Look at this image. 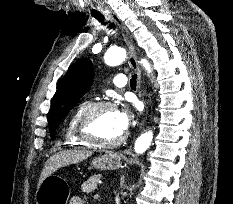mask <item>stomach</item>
Masks as SVG:
<instances>
[{"label": "stomach", "instance_id": "0dacf381", "mask_svg": "<svg viewBox=\"0 0 233 204\" xmlns=\"http://www.w3.org/2000/svg\"><path fill=\"white\" fill-rule=\"evenodd\" d=\"M122 155L108 152L94 158L92 167L100 170H117L122 167ZM70 188L64 179L50 175L37 188L36 204H67Z\"/></svg>", "mask_w": 233, "mask_h": 204}]
</instances>
